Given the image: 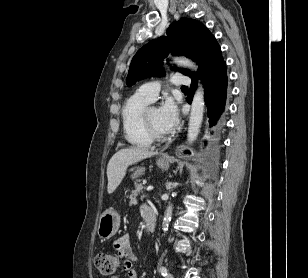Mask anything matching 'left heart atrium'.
I'll list each match as a JSON object with an SVG mask.
<instances>
[{"label":"left heart atrium","mask_w":308,"mask_h":278,"mask_svg":"<svg viewBox=\"0 0 308 278\" xmlns=\"http://www.w3.org/2000/svg\"><path fill=\"white\" fill-rule=\"evenodd\" d=\"M159 125L163 133L173 131L179 123V111L175 103L168 99L158 109Z\"/></svg>","instance_id":"left-heart-atrium-1"}]
</instances>
